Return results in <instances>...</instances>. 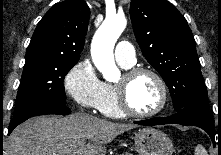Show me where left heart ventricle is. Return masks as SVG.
<instances>
[{"label": "left heart ventricle", "instance_id": "left-heart-ventricle-1", "mask_svg": "<svg viewBox=\"0 0 221 155\" xmlns=\"http://www.w3.org/2000/svg\"><path fill=\"white\" fill-rule=\"evenodd\" d=\"M121 80L122 77L118 82ZM128 97L135 110L150 112L160 105L161 91L158 83L151 75L141 74L130 83Z\"/></svg>", "mask_w": 221, "mask_h": 155}]
</instances>
